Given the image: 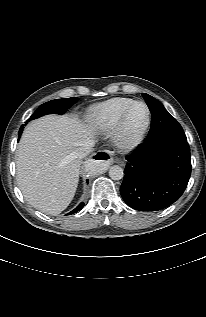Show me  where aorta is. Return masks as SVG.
Wrapping results in <instances>:
<instances>
[{
	"mask_svg": "<svg viewBox=\"0 0 206 317\" xmlns=\"http://www.w3.org/2000/svg\"><path fill=\"white\" fill-rule=\"evenodd\" d=\"M87 170L96 173L98 172V165L96 163H91L87 166ZM109 176L112 180H121L124 176V171L122 167L114 165L109 169Z\"/></svg>",
	"mask_w": 206,
	"mask_h": 317,
	"instance_id": "1",
	"label": "aorta"
}]
</instances>
